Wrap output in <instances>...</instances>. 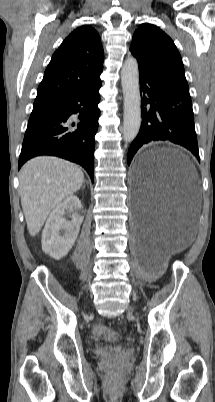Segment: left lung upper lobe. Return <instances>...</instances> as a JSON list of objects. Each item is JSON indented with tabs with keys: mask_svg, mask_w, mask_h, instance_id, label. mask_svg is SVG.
I'll use <instances>...</instances> for the list:
<instances>
[{
	"mask_svg": "<svg viewBox=\"0 0 215 402\" xmlns=\"http://www.w3.org/2000/svg\"><path fill=\"white\" fill-rule=\"evenodd\" d=\"M130 51L138 61L139 72L160 79L191 99L180 53L165 32L153 24L139 25L133 34Z\"/></svg>",
	"mask_w": 215,
	"mask_h": 402,
	"instance_id": "1",
	"label": "left lung upper lobe"
}]
</instances>
